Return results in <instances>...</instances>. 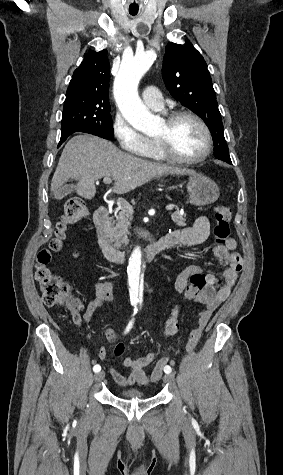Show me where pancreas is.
<instances>
[{"label":"pancreas","instance_id":"pancreas-1","mask_svg":"<svg viewBox=\"0 0 283 475\" xmlns=\"http://www.w3.org/2000/svg\"><path fill=\"white\" fill-rule=\"evenodd\" d=\"M130 218H132V212H129V210H124V212H120L119 216H116L115 222H112L113 226L112 228H110L107 234V239L109 243L113 245V247H117V249H119L122 243H125V245L129 243L128 236L130 232L128 228L130 226ZM171 218L173 222L177 224V226H186V214H183V216H181L178 208L176 212H173V214H171Z\"/></svg>","mask_w":283,"mask_h":475}]
</instances>
